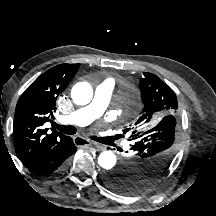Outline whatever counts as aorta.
I'll return each mask as SVG.
<instances>
[{"instance_id":"762f6f07","label":"aorta","mask_w":216,"mask_h":216,"mask_svg":"<svg viewBox=\"0 0 216 216\" xmlns=\"http://www.w3.org/2000/svg\"><path fill=\"white\" fill-rule=\"evenodd\" d=\"M71 97L74 103L86 105L93 98V89L87 82H80L74 85L71 91ZM98 164L105 170L112 169L116 164V155L112 151H103L98 157Z\"/></svg>"}]
</instances>
